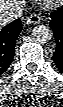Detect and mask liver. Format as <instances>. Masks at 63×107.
<instances>
[{
  "mask_svg": "<svg viewBox=\"0 0 63 107\" xmlns=\"http://www.w3.org/2000/svg\"><path fill=\"white\" fill-rule=\"evenodd\" d=\"M10 1H13V0H1L0 1V5L2 4V2H4V4H6L7 6L11 5V2ZM10 21L7 20V19H2L1 18V15H0V25L1 26H4L6 25L7 23H9Z\"/></svg>",
  "mask_w": 63,
  "mask_h": 107,
  "instance_id": "obj_1",
  "label": "liver"
}]
</instances>
